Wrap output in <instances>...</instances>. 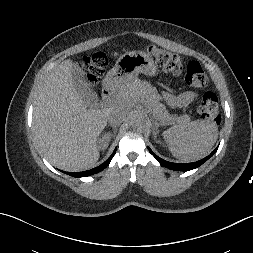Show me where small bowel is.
Instances as JSON below:
<instances>
[{
	"label": "small bowel",
	"mask_w": 253,
	"mask_h": 253,
	"mask_svg": "<svg viewBox=\"0 0 253 253\" xmlns=\"http://www.w3.org/2000/svg\"><path fill=\"white\" fill-rule=\"evenodd\" d=\"M165 98L171 106L182 108L195 102L197 95L193 91H185L177 96L165 94Z\"/></svg>",
	"instance_id": "1"
}]
</instances>
